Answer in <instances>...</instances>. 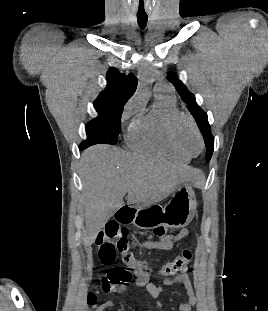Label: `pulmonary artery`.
I'll use <instances>...</instances> for the list:
<instances>
[{
    "label": "pulmonary artery",
    "mask_w": 268,
    "mask_h": 311,
    "mask_svg": "<svg viewBox=\"0 0 268 311\" xmlns=\"http://www.w3.org/2000/svg\"><path fill=\"white\" fill-rule=\"evenodd\" d=\"M157 89L158 90H165V87L163 85H161V84H158L157 85Z\"/></svg>",
    "instance_id": "obj_1"
}]
</instances>
